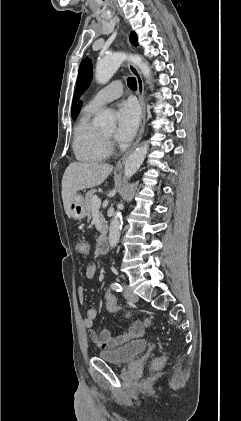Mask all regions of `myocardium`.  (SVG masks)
Here are the masks:
<instances>
[{"label": "myocardium", "mask_w": 241, "mask_h": 421, "mask_svg": "<svg viewBox=\"0 0 241 421\" xmlns=\"http://www.w3.org/2000/svg\"><path fill=\"white\" fill-rule=\"evenodd\" d=\"M103 135H104V138L106 139V141L108 142V144L110 145V143H111V136H108L106 134H103Z\"/></svg>", "instance_id": "f54148a6"}]
</instances>
